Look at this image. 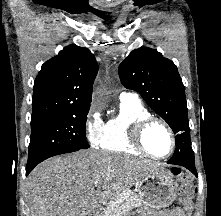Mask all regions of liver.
Wrapping results in <instances>:
<instances>
[{"label":"liver","instance_id":"liver-1","mask_svg":"<svg viewBox=\"0 0 221 216\" xmlns=\"http://www.w3.org/2000/svg\"><path fill=\"white\" fill-rule=\"evenodd\" d=\"M163 169L160 163L97 150L47 159L27 178L31 216H100V204Z\"/></svg>","mask_w":221,"mask_h":216}]
</instances>
